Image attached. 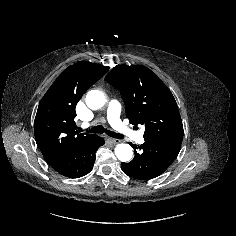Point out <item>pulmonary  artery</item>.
<instances>
[{"label":"pulmonary artery","instance_id":"pulmonary-artery-1","mask_svg":"<svg viewBox=\"0 0 236 236\" xmlns=\"http://www.w3.org/2000/svg\"><path fill=\"white\" fill-rule=\"evenodd\" d=\"M120 113H121V104L113 99L108 104L107 109V118L109 123L112 127L121 135L134 139L138 143H143L144 138L143 134L140 132H136L129 128L128 126L124 125L120 120Z\"/></svg>","mask_w":236,"mask_h":236}]
</instances>
